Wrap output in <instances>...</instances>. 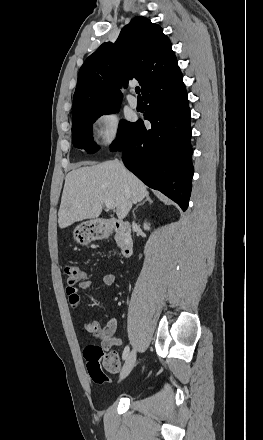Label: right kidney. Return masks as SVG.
Here are the masks:
<instances>
[{"label": "right kidney", "instance_id": "right-kidney-1", "mask_svg": "<svg viewBox=\"0 0 263 440\" xmlns=\"http://www.w3.org/2000/svg\"><path fill=\"white\" fill-rule=\"evenodd\" d=\"M144 229H145V230H149V229H150V226H149V224H147V223H144Z\"/></svg>", "mask_w": 263, "mask_h": 440}]
</instances>
